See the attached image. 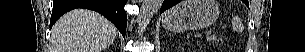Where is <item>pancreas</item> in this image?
Instances as JSON below:
<instances>
[{
	"label": "pancreas",
	"mask_w": 305,
	"mask_h": 52,
	"mask_svg": "<svg viewBox=\"0 0 305 52\" xmlns=\"http://www.w3.org/2000/svg\"><path fill=\"white\" fill-rule=\"evenodd\" d=\"M217 40H219V39H217V37H211V38H210V41H213V42H215V41H217Z\"/></svg>",
	"instance_id": "cf45deb5"
}]
</instances>
